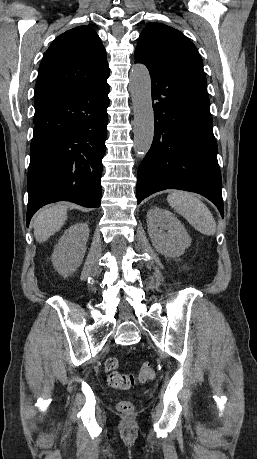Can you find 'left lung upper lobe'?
Listing matches in <instances>:
<instances>
[{
  "instance_id": "obj_1",
  "label": "left lung upper lobe",
  "mask_w": 257,
  "mask_h": 459,
  "mask_svg": "<svg viewBox=\"0 0 257 459\" xmlns=\"http://www.w3.org/2000/svg\"><path fill=\"white\" fill-rule=\"evenodd\" d=\"M136 63L165 74L194 72L205 75L203 62L195 45L180 31L160 23H151L142 31L135 49Z\"/></svg>"
}]
</instances>
